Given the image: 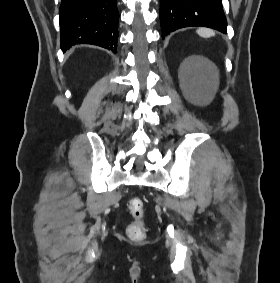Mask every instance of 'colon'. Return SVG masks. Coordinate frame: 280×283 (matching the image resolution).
<instances>
[{"mask_svg":"<svg viewBox=\"0 0 280 283\" xmlns=\"http://www.w3.org/2000/svg\"><path fill=\"white\" fill-rule=\"evenodd\" d=\"M129 209L133 220L127 227V234L134 239H141L144 235V203L140 198H132Z\"/></svg>","mask_w":280,"mask_h":283,"instance_id":"5ec220e1","label":"colon"}]
</instances>
